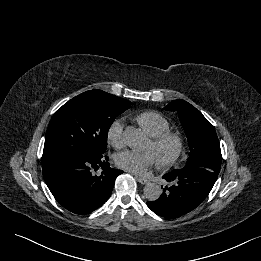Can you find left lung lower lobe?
<instances>
[{
  "label": "left lung lower lobe",
  "mask_w": 261,
  "mask_h": 261,
  "mask_svg": "<svg viewBox=\"0 0 261 261\" xmlns=\"http://www.w3.org/2000/svg\"><path fill=\"white\" fill-rule=\"evenodd\" d=\"M219 172L197 166H186L163 175L168 184L148 207L166 219L180 217L195 209L208 196Z\"/></svg>",
  "instance_id": "left-lung-lower-lobe-1"
}]
</instances>
